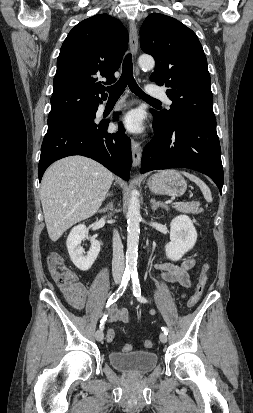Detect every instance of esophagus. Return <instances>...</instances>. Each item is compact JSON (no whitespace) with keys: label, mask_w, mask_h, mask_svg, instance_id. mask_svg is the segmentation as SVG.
<instances>
[{"label":"esophagus","mask_w":253,"mask_h":413,"mask_svg":"<svg viewBox=\"0 0 253 413\" xmlns=\"http://www.w3.org/2000/svg\"><path fill=\"white\" fill-rule=\"evenodd\" d=\"M129 38H130V48L132 54L136 56L138 50V31L134 21L129 22ZM136 72L137 68H136ZM131 149H132V160L133 166L137 167L140 164L141 155H142V148L139 142L132 139L131 141Z\"/></svg>","instance_id":"1"}]
</instances>
